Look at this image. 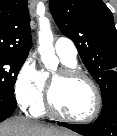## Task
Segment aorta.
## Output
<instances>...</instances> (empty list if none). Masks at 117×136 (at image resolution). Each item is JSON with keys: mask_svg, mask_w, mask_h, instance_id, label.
<instances>
[{"mask_svg": "<svg viewBox=\"0 0 117 136\" xmlns=\"http://www.w3.org/2000/svg\"><path fill=\"white\" fill-rule=\"evenodd\" d=\"M39 25L38 50L41 55V60L48 69H55L58 60L53 47V34L50 29V22L47 18L42 17L40 18Z\"/></svg>", "mask_w": 117, "mask_h": 136, "instance_id": "762f6f07", "label": "aorta"}]
</instances>
